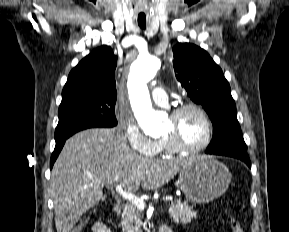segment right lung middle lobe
<instances>
[{"label":"right lung middle lobe","instance_id":"right-lung-middle-lobe-1","mask_svg":"<svg viewBox=\"0 0 289 232\" xmlns=\"http://www.w3.org/2000/svg\"><path fill=\"white\" fill-rule=\"evenodd\" d=\"M116 99L104 96L75 98L61 103L55 141L67 139L74 133L95 127H114Z\"/></svg>","mask_w":289,"mask_h":232}]
</instances>
